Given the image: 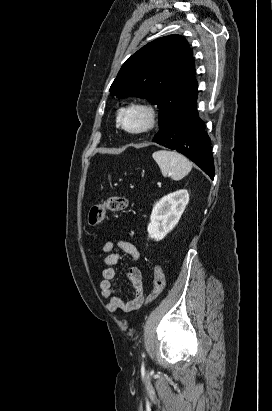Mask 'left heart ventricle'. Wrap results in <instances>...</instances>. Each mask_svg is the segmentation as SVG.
I'll use <instances>...</instances> for the list:
<instances>
[{"mask_svg": "<svg viewBox=\"0 0 272 411\" xmlns=\"http://www.w3.org/2000/svg\"><path fill=\"white\" fill-rule=\"evenodd\" d=\"M144 122V115L139 111L128 112L125 116V123L130 128H137Z\"/></svg>", "mask_w": 272, "mask_h": 411, "instance_id": "left-heart-ventricle-1", "label": "left heart ventricle"}]
</instances>
